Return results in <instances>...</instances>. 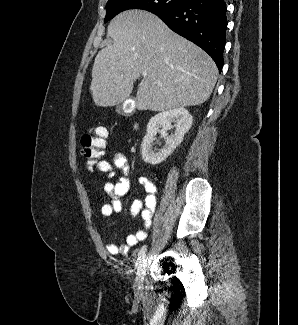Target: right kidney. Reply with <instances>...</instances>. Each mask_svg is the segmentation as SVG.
<instances>
[{"label": "right kidney", "mask_w": 298, "mask_h": 325, "mask_svg": "<svg viewBox=\"0 0 298 325\" xmlns=\"http://www.w3.org/2000/svg\"><path fill=\"white\" fill-rule=\"evenodd\" d=\"M192 120L193 116L187 108H172V110H163V112L151 116L141 144V154L145 163H150V165L162 163V160H165L182 142L185 132H188L192 126ZM172 122H176V124H172ZM172 126H176V130L167 136V130ZM157 132H160L166 142L161 150H153V142Z\"/></svg>", "instance_id": "obj_1"}]
</instances>
